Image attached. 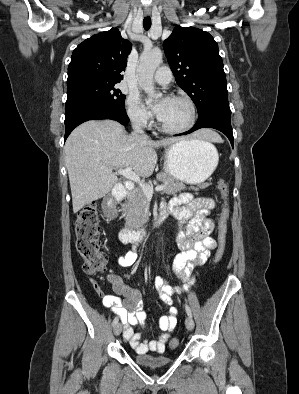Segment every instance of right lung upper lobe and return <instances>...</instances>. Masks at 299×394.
<instances>
[{
  "label": "right lung upper lobe",
  "instance_id": "1",
  "mask_svg": "<svg viewBox=\"0 0 299 394\" xmlns=\"http://www.w3.org/2000/svg\"><path fill=\"white\" fill-rule=\"evenodd\" d=\"M130 51L131 43L116 28L91 36L72 53L67 88L91 82L119 83Z\"/></svg>",
  "mask_w": 299,
  "mask_h": 394
}]
</instances>
